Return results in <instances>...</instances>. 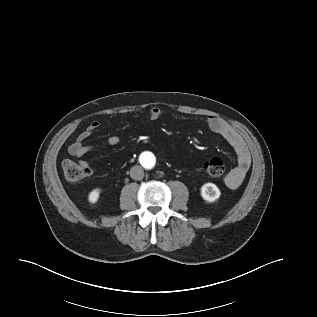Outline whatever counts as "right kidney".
<instances>
[{
    "label": "right kidney",
    "mask_w": 317,
    "mask_h": 317,
    "mask_svg": "<svg viewBox=\"0 0 317 317\" xmlns=\"http://www.w3.org/2000/svg\"><path fill=\"white\" fill-rule=\"evenodd\" d=\"M99 190L98 189H94L93 191H91L89 193V196H88V200L90 203H96L98 201V198H99Z\"/></svg>",
    "instance_id": "right-kidney-1"
}]
</instances>
